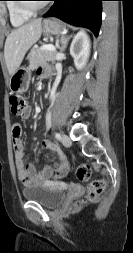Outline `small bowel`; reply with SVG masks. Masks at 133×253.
Here are the masks:
<instances>
[{
	"instance_id": "1",
	"label": "small bowel",
	"mask_w": 133,
	"mask_h": 253,
	"mask_svg": "<svg viewBox=\"0 0 133 253\" xmlns=\"http://www.w3.org/2000/svg\"><path fill=\"white\" fill-rule=\"evenodd\" d=\"M39 74L41 77H47L49 70L45 67H41L39 68ZM30 114L31 109L27 107L22 117L27 119L30 117ZM12 142L17 176L21 184L28 186L48 182V179L53 175L63 177L67 174L69 166L64 156H59L58 163L45 166L41 172H37L33 164L25 161V146L22 141V126L19 123H15L12 126ZM41 145L43 148L51 151L57 150V146L50 139H44Z\"/></svg>"
}]
</instances>
